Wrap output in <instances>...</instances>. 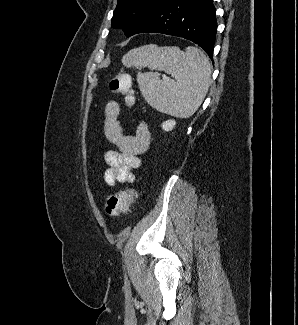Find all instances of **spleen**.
I'll list each match as a JSON object with an SVG mask.
<instances>
[{
  "label": "spleen",
  "instance_id": "obj_1",
  "mask_svg": "<svg viewBox=\"0 0 298 325\" xmlns=\"http://www.w3.org/2000/svg\"><path fill=\"white\" fill-rule=\"evenodd\" d=\"M124 66L139 68L138 86L146 102L165 114L189 118L202 104L209 88L211 64L196 46H158L144 44L131 48L122 58ZM148 66L165 70L174 80H161L156 72H140Z\"/></svg>",
  "mask_w": 298,
  "mask_h": 325
}]
</instances>
